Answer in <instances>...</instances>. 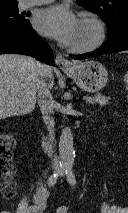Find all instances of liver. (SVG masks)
Here are the masks:
<instances>
[{
  "instance_id": "6515ba94",
  "label": "liver",
  "mask_w": 128,
  "mask_h": 213,
  "mask_svg": "<svg viewBox=\"0 0 128 213\" xmlns=\"http://www.w3.org/2000/svg\"><path fill=\"white\" fill-rule=\"evenodd\" d=\"M41 64L23 55H0V119L31 113L36 104ZM53 87L52 68L47 75Z\"/></svg>"
}]
</instances>
